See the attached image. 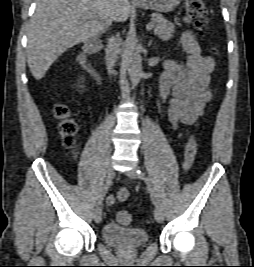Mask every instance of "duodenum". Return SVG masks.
Wrapping results in <instances>:
<instances>
[{
    "mask_svg": "<svg viewBox=\"0 0 254 267\" xmlns=\"http://www.w3.org/2000/svg\"><path fill=\"white\" fill-rule=\"evenodd\" d=\"M101 48V42L97 38L89 39L83 46L81 52L78 55L79 63L93 76L97 82H101V76L98 71L89 62L88 57L91 54L98 52Z\"/></svg>",
    "mask_w": 254,
    "mask_h": 267,
    "instance_id": "1",
    "label": "duodenum"
}]
</instances>
